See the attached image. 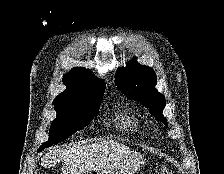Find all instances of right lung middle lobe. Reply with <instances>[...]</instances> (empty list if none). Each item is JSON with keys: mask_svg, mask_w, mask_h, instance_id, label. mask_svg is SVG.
Returning <instances> with one entry per match:
<instances>
[{"mask_svg": "<svg viewBox=\"0 0 224 174\" xmlns=\"http://www.w3.org/2000/svg\"><path fill=\"white\" fill-rule=\"evenodd\" d=\"M101 99L84 100L70 104H54L56 119L49 130V140L39 151L56 144L86 127L98 113Z\"/></svg>", "mask_w": 224, "mask_h": 174, "instance_id": "dd1d6c3e", "label": "right lung middle lobe"}]
</instances>
